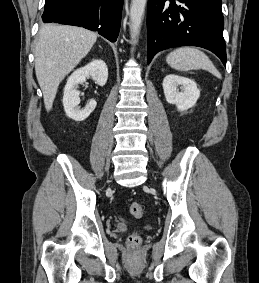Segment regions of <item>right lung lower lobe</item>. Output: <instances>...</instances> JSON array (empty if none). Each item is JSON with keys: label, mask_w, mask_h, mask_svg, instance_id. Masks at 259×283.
<instances>
[{"label": "right lung lower lobe", "mask_w": 259, "mask_h": 283, "mask_svg": "<svg viewBox=\"0 0 259 283\" xmlns=\"http://www.w3.org/2000/svg\"><path fill=\"white\" fill-rule=\"evenodd\" d=\"M123 0H46L44 22L82 26L115 42L121 23Z\"/></svg>", "instance_id": "right-lung-lower-lobe-1"}]
</instances>
